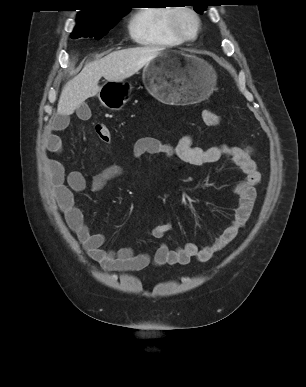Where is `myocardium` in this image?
<instances>
[{
	"label": "myocardium",
	"mask_w": 306,
	"mask_h": 387,
	"mask_svg": "<svg viewBox=\"0 0 306 387\" xmlns=\"http://www.w3.org/2000/svg\"><path fill=\"white\" fill-rule=\"evenodd\" d=\"M183 13L190 14L195 21V31L192 35L187 34L181 26L180 16ZM170 27L173 33L184 42L194 41L198 38L201 32L202 23H201L200 15L194 8L189 6H180V7L174 8L170 17Z\"/></svg>",
	"instance_id": "1"
}]
</instances>
